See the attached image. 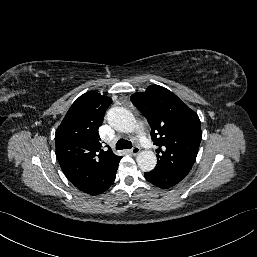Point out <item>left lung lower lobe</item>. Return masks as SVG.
Here are the masks:
<instances>
[{
	"label": "left lung lower lobe",
	"instance_id": "0a47b994",
	"mask_svg": "<svg viewBox=\"0 0 257 257\" xmlns=\"http://www.w3.org/2000/svg\"><path fill=\"white\" fill-rule=\"evenodd\" d=\"M144 176L146 180L160 188H170L182 180V178L156 168L149 173H145Z\"/></svg>",
	"mask_w": 257,
	"mask_h": 257
}]
</instances>
